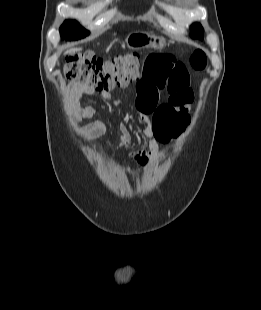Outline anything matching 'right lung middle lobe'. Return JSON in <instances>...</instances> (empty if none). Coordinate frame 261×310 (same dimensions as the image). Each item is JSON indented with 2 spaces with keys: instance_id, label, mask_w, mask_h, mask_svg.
Listing matches in <instances>:
<instances>
[{
  "instance_id": "1",
  "label": "right lung middle lobe",
  "mask_w": 261,
  "mask_h": 310,
  "mask_svg": "<svg viewBox=\"0 0 261 310\" xmlns=\"http://www.w3.org/2000/svg\"><path fill=\"white\" fill-rule=\"evenodd\" d=\"M60 34L62 39L76 40L89 35V31L85 30L76 21H65L64 24L60 27Z\"/></svg>"
}]
</instances>
